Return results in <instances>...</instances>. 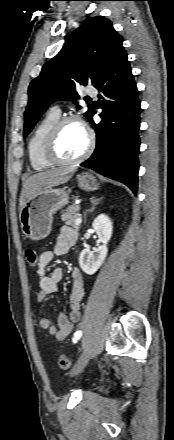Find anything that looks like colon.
Here are the masks:
<instances>
[{"mask_svg": "<svg viewBox=\"0 0 174 440\" xmlns=\"http://www.w3.org/2000/svg\"><path fill=\"white\" fill-rule=\"evenodd\" d=\"M26 262L29 266L33 267L38 262V254L36 249L28 248L25 251ZM59 366L63 370H69L71 368V360L67 355H61L59 357Z\"/></svg>", "mask_w": 174, "mask_h": 440, "instance_id": "obj_1", "label": "colon"}]
</instances>
